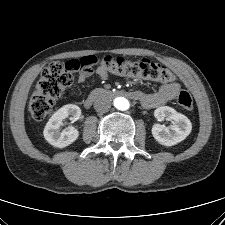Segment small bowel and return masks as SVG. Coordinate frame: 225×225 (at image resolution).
I'll use <instances>...</instances> for the list:
<instances>
[{
	"label": "small bowel",
	"instance_id": "c3829d8e",
	"mask_svg": "<svg viewBox=\"0 0 225 225\" xmlns=\"http://www.w3.org/2000/svg\"><path fill=\"white\" fill-rule=\"evenodd\" d=\"M97 76L100 79H107L109 74L102 67H97L95 69L90 68L87 70H81L77 73L76 77L78 82H84L91 76ZM180 86L178 83L171 82L163 84L158 91L154 93H139V100L145 108H155L166 104L167 102L173 100L179 93Z\"/></svg>",
	"mask_w": 225,
	"mask_h": 225
}]
</instances>
